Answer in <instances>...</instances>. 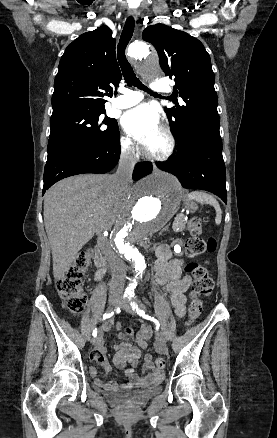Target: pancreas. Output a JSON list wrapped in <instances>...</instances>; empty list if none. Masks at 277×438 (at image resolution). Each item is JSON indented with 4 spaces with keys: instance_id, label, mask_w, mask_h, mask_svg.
<instances>
[{
    "instance_id": "pancreas-1",
    "label": "pancreas",
    "mask_w": 277,
    "mask_h": 438,
    "mask_svg": "<svg viewBox=\"0 0 277 438\" xmlns=\"http://www.w3.org/2000/svg\"><path fill=\"white\" fill-rule=\"evenodd\" d=\"M174 224L172 226V231L174 233H181L183 231V226L181 224L176 223H185L187 220V217L185 214H176L173 217Z\"/></svg>"
}]
</instances>
